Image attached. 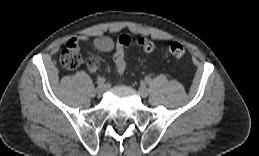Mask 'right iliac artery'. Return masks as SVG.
Listing matches in <instances>:
<instances>
[{
    "label": "right iliac artery",
    "mask_w": 259,
    "mask_h": 156,
    "mask_svg": "<svg viewBox=\"0 0 259 156\" xmlns=\"http://www.w3.org/2000/svg\"><path fill=\"white\" fill-rule=\"evenodd\" d=\"M105 81H106V79L104 77H100V78H98L96 83L98 85H103L105 83Z\"/></svg>",
    "instance_id": "right-iliac-artery-1"
}]
</instances>
